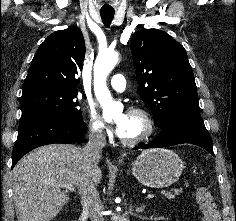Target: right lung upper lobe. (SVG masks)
<instances>
[{
	"label": "right lung upper lobe",
	"mask_w": 236,
	"mask_h": 221,
	"mask_svg": "<svg viewBox=\"0 0 236 221\" xmlns=\"http://www.w3.org/2000/svg\"><path fill=\"white\" fill-rule=\"evenodd\" d=\"M85 43L76 26L54 32L38 48L23 85L22 94L36 90L77 91Z\"/></svg>",
	"instance_id": "obj_1"
}]
</instances>
